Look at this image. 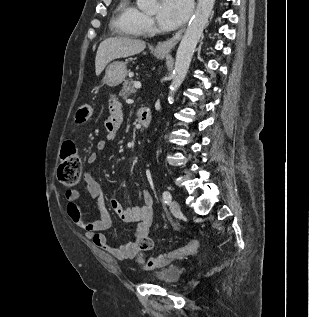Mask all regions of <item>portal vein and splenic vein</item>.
I'll return each mask as SVG.
<instances>
[{
  "label": "portal vein and splenic vein",
  "instance_id": "1",
  "mask_svg": "<svg viewBox=\"0 0 309 317\" xmlns=\"http://www.w3.org/2000/svg\"><path fill=\"white\" fill-rule=\"evenodd\" d=\"M134 87L136 88V89H140L141 88V83L140 82H135L134 83Z\"/></svg>",
  "mask_w": 309,
  "mask_h": 317
}]
</instances>
